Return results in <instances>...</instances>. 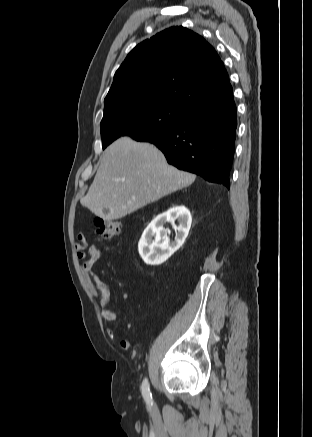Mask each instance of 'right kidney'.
<instances>
[{"label":"right kidney","mask_w":312,"mask_h":437,"mask_svg":"<svg viewBox=\"0 0 312 437\" xmlns=\"http://www.w3.org/2000/svg\"><path fill=\"white\" fill-rule=\"evenodd\" d=\"M175 220L178 221L179 226L175 225ZM167 222H171L177 231L172 242L168 238L167 229L164 228ZM191 223V214L185 206H176L158 215L144 230L138 244V251L143 261L149 265L164 263L184 244Z\"/></svg>","instance_id":"ca27d5eb"}]
</instances>
